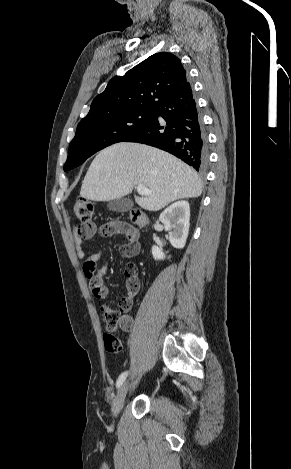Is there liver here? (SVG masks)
<instances>
[{"label":"liver","instance_id":"6515ba94","mask_svg":"<svg viewBox=\"0 0 291 469\" xmlns=\"http://www.w3.org/2000/svg\"><path fill=\"white\" fill-rule=\"evenodd\" d=\"M138 185L151 191L150 195L135 196L136 203L149 211L202 193L198 174L181 160L151 146L120 142L96 155L82 182L80 196L110 201L130 194Z\"/></svg>","mask_w":291,"mask_h":469}]
</instances>
